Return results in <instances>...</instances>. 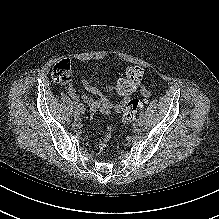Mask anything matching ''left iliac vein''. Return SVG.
Here are the masks:
<instances>
[{
  "label": "left iliac vein",
  "instance_id": "1",
  "mask_svg": "<svg viewBox=\"0 0 219 219\" xmlns=\"http://www.w3.org/2000/svg\"><path fill=\"white\" fill-rule=\"evenodd\" d=\"M145 124V116H139L138 120H137V125L139 127H143Z\"/></svg>",
  "mask_w": 219,
  "mask_h": 219
}]
</instances>
